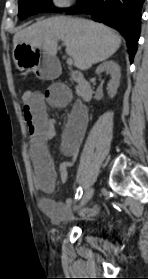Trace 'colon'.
<instances>
[{
	"instance_id": "5ec220e1",
	"label": "colon",
	"mask_w": 148,
	"mask_h": 279,
	"mask_svg": "<svg viewBox=\"0 0 148 279\" xmlns=\"http://www.w3.org/2000/svg\"><path fill=\"white\" fill-rule=\"evenodd\" d=\"M34 98V93L31 92L30 90H24L22 92V100L24 103L31 102Z\"/></svg>"
}]
</instances>
